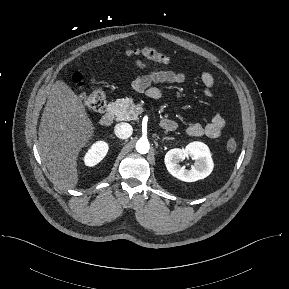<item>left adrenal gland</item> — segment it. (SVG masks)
I'll list each match as a JSON object with an SVG mask.
<instances>
[{
    "mask_svg": "<svg viewBox=\"0 0 289 289\" xmlns=\"http://www.w3.org/2000/svg\"><path fill=\"white\" fill-rule=\"evenodd\" d=\"M164 140H170V138L166 137V138L163 139V141H164Z\"/></svg>",
    "mask_w": 289,
    "mask_h": 289,
    "instance_id": "obj_1",
    "label": "left adrenal gland"
}]
</instances>
